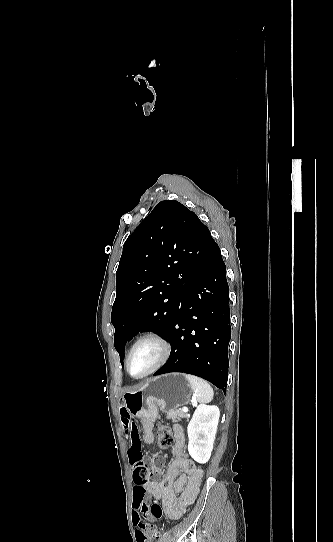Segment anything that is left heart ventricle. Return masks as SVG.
<instances>
[{
  "instance_id": "1",
  "label": "left heart ventricle",
  "mask_w": 333,
  "mask_h": 542,
  "mask_svg": "<svg viewBox=\"0 0 333 542\" xmlns=\"http://www.w3.org/2000/svg\"><path fill=\"white\" fill-rule=\"evenodd\" d=\"M160 352L154 342L141 344L132 354L129 362V370L133 375H141L154 366Z\"/></svg>"
}]
</instances>
